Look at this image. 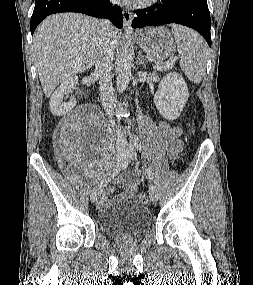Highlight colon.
Masks as SVG:
<instances>
[{
  "mask_svg": "<svg viewBox=\"0 0 253 285\" xmlns=\"http://www.w3.org/2000/svg\"><path fill=\"white\" fill-rule=\"evenodd\" d=\"M137 200L141 204H146L148 202V197L145 193H140L137 197Z\"/></svg>",
  "mask_w": 253,
  "mask_h": 285,
  "instance_id": "5ec220e1",
  "label": "colon"
}]
</instances>
